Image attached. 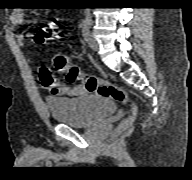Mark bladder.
<instances>
[{"mask_svg": "<svg viewBox=\"0 0 192 180\" xmlns=\"http://www.w3.org/2000/svg\"><path fill=\"white\" fill-rule=\"evenodd\" d=\"M47 106L53 120L71 127H87L107 118L116 111V105L100 96L78 98H48Z\"/></svg>", "mask_w": 192, "mask_h": 180, "instance_id": "31cf9c89", "label": "bladder"}]
</instances>
